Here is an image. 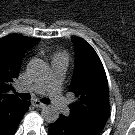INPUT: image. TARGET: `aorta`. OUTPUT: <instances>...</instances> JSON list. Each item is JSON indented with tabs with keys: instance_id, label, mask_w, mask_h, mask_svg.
Instances as JSON below:
<instances>
[{
	"instance_id": "obj_1",
	"label": "aorta",
	"mask_w": 135,
	"mask_h": 135,
	"mask_svg": "<svg viewBox=\"0 0 135 135\" xmlns=\"http://www.w3.org/2000/svg\"><path fill=\"white\" fill-rule=\"evenodd\" d=\"M28 73L35 79L43 78L48 73V66L42 59H32L27 65ZM59 110L53 105L42 109L41 116L47 123H54L59 118Z\"/></svg>"
}]
</instances>
